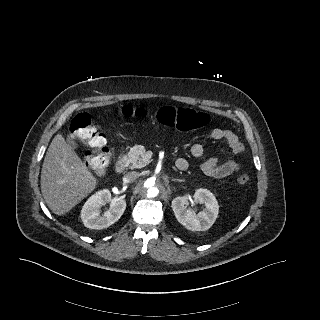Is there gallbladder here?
Here are the masks:
<instances>
[{"instance_id": "obj_1", "label": "gallbladder", "mask_w": 320, "mask_h": 320, "mask_svg": "<svg viewBox=\"0 0 320 320\" xmlns=\"http://www.w3.org/2000/svg\"><path fill=\"white\" fill-rule=\"evenodd\" d=\"M68 144L72 147V148H75L76 147V144L73 140L69 139L68 140Z\"/></svg>"}]
</instances>
